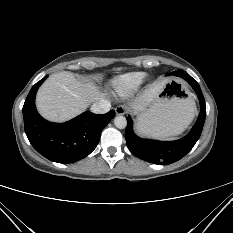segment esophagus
<instances>
[{
  "instance_id": "obj_1",
  "label": "esophagus",
  "mask_w": 233,
  "mask_h": 233,
  "mask_svg": "<svg viewBox=\"0 0 233 233\" xmlns=\"http://www.w3.org/2000/svg\"><path fill=\"white\" fill-rule=\"evenodd\" d=\"M116 115H124L126 113V108L122 105L115 108Z\"/></svg>"
}]
</instances>
